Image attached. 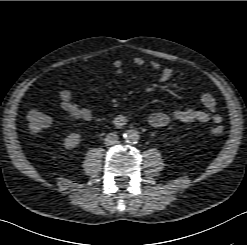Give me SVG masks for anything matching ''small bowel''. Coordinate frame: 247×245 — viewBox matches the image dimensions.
I'll return each instance as SVG.
<instances>
[{
	"instance_id": "obj_1",
	"label": "small bowel",
	"mask_w": 247,
	"mask_h": 245,
	"mask_svg": "<svg viewBox=\"0 0 247 245\" xmlns=\"http://www.w3.org/2000/svg\"><path fill=\"white\" fill-rule=\"evenodd\" d=\"M132 61L136 66H143L146 64V61L139 56H135ZM148 64L154 70H161V82H168L172 78V68H162L160 62L157 60H151ZM113 67L116 74L120 75L123 73V63L120 60L114 61ZM59 98L61 108L74 119L83 121H90L92 119L91 110L86 107L79 106L73 102L72 93L69 90H62L59 94ZM201 102L209 112H215L217 102L212 94L204 93L201 97ZM210 119H212L216 124L222 121L221 116L218 114H213L211 117L208 112L195 108L179 109L173 112L171 115L165 112H154L148 116L149 124L155 128L165 127L170 123L171 120H177L183 123H206Z\"/></svg>"
}]
</instances>
